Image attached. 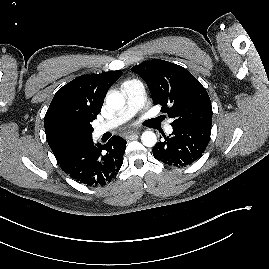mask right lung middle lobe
Here are the masks:
<instances>
[{
	"instance_id": "dd1d6c3e",
	"label": "right lung middle lobe",
	"mask_w": 269,
	"mask_h": 269,
	"mask_svg": "<svg viewBox=\"0 0 269 269\" xmlns=\"http://www.w3.org/2000/svg\"><path fill=\"white\" fill-rule=\"evenodd\" d=\"M93 128L87 129L81 133H78L76 136V147H79L92 139Z\"/></svg>"
}]
</instances>
